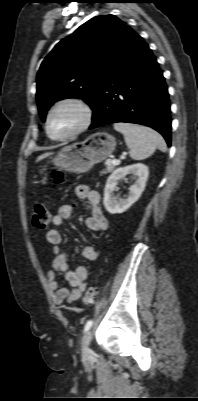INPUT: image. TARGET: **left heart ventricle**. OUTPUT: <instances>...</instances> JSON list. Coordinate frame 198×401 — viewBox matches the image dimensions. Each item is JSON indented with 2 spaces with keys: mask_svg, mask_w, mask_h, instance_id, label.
<instances>
[{
  "mask_svg": "<svg viewBox=\"0 0 198 401\" xmlns=\"http://www.w3.org/2000/svg\"><path fill=\"white\" fill-rule=\"evenodd\" d=\"M81 112L72 105L58 108L51 116L49 123L50 134L62 137L73 132L81 123Z\"/></svg>",
  "mask_w": 198,
  "mask_h": 401,
  "instance_id": "obj_1",
  "label": "left heart ventricle"
}]
</instances>
